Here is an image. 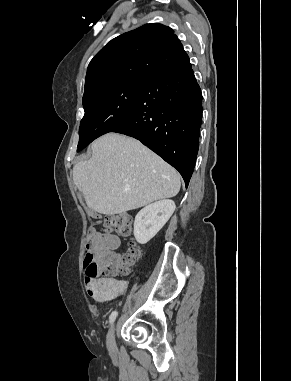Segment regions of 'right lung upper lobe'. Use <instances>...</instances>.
I'll list each match as a JSON object with an SVG mask.
<instances>
[{
	"instance_id": "cb5924a9",
	"label": "right lung upper lobe",
	"mask_w": 291,
	"mask_h": 381,
	"mask_svg": "<svg viewBox=\"0 0 291 381\" xmlns=\"http://www.w3.org/2000/svg\"><path fill=\"white\" fill-rule=\"evenodd\" d=\"M184 51L173 30L151 23L112 39L89 63L83 100L122 83L146 81Z\"/></svg>"
}]
</instances>
